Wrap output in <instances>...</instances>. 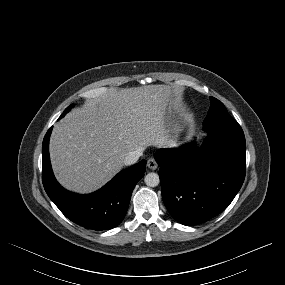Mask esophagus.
<instances>
[{"mask_svg": "<svg viewBox=\"0 0 285 285\" xmlns=\"http://www.w3.org/2000/svg\"><path fill=\"white\" fill-rule=\"evenodd\" d=\"M147 167H148L149 169H151V170H155V169H157L158 164H157V162H156L155 159L150 158V159H148V161H147Z\"/></svg>", "mask_w": 285, "mask_h": 285, "instance_id": "34e87169", "label": "esophagus"}]
</instances>
